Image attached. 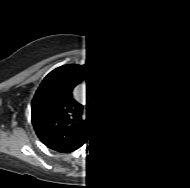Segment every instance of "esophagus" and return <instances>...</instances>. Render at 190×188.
<instances>
[{"mask_svg":"<svg viewBox=\"0 0 190 188\" xmlns=\"http://www.w3.org/2000/svg\"><path fill=\"white\" fill-rule=\"evenodd\" d=\"M105 119L104 116L97 117V121H103Z\"/></svg>","mask_w":190,"mask_h":188,"instance_id":"obj_1","label":"esophagus"}]
</instances>
